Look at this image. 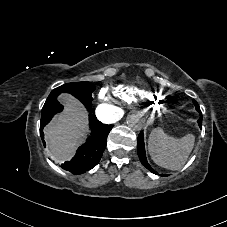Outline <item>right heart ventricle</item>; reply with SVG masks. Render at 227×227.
I'll return each instance as SVG.
<instances>
[{"mask_svg":"<svg viewBox=\"0 0 227 227\" xmlns=\"http://www.w3.org/2000/svg\"><path fill=\"white\" fill-rule=\"evenodd\" d=\"M113 95L122 103L129 106H146L157 110L161 107L164 96L135 87L117 86L112 90Z\"/></svg>","mask_w":227,"mask_h":227,"instance_id":"obj_1","label":"right heart ventricle"}]
</instances>
